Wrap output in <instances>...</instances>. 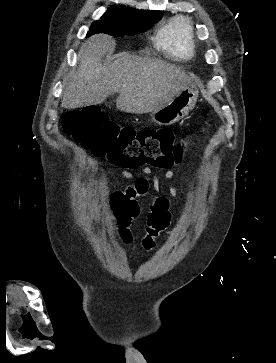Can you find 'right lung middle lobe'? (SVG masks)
I'll return each mask as SVG.
<instances>
[{
  "instance_id": "dd1d6c3e",
  "label": "right lung middle lobe",
  "mask_w": 276,
  "mask_h": 363,
  "mask_svg": "<svg viewBox=\"0 0 276 363\" xmlns=\"http://www.w3.org/2000/svg\"><path fill=\"white\" fill-rule=\"evenodd\" d=\"M162 16L161 11L136 10L124 7H111L100 18L91 24L88 36L107 33L112 36L137 34L145 32Z\"/></svg>"
}]
</instances>
